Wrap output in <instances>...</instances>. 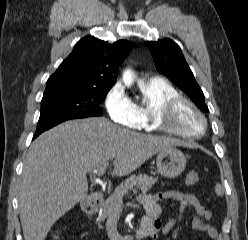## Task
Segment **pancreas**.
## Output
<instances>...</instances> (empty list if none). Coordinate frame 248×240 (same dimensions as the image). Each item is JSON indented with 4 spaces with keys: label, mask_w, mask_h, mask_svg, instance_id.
I'll use <instances>...</instances> for the list:
<instances>
[{
    "label": "pancreas",
    "mask_w": 248,
    "mask_h": 240,
    "mask_svg": "<svg viewBox=\"0 0 248 240\" xmlns=\"http://www.w3.org/2000/svg\"><path fill=\"white\" fill-rule=\"evenodd\" d=\"M157 181V179L145 175H132L127 178L123 183H121L112 195L103 203L100 220H105L109 217L116 208L123 204V197L129 191L136 193V189H141L143 192H147L151 189L152 185ZM136 187V188H134Z\"/></svg>",
    "instance_id": "cf45deb5"
}]
</instances>
